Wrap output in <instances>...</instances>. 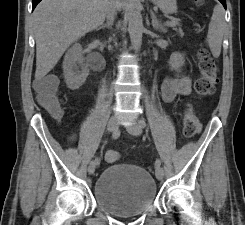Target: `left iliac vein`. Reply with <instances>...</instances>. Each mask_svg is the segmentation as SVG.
I'll use <instances>...</instances> for the list:
<instances>
[{"mask_svg":"<svg viewBox=\"0 0 245 225\" xmlns=\"http://www.w3.org/2000/svg\"><path fill=\"white\" fill-rule=\"evenodd\" d=\"M127 130L130 134L134 135V136H138L142 133V127L141 125L139 124V122H134L133 124L131 125H128L127 127ZM155 174H156V178L158 180H162L163 177H164V170L162 167H158L155 171Z\"/></svg>","mask_w":245,"mask_h":225,"instance_id":"obj_1","label":"left iliac vein"}]
</instances>
